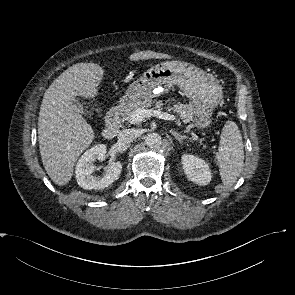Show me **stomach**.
Returning a JSON list of instances; mask_svg holds the SVG:
<instances>
[{
  "mask_svg": "<svg viewBox=\"0 0 295 295\" xmlns=\"http://www.w3.org/2000/svg\"><path fill=\"white\" fill-rule=\"evenodd\" d=\"M175 85L191 100L195 126L209 127L213 110L223 98L222 87L212 74L186 62L165 61L151 66L128 87L121 103L131 105L142 99L158 97Z\"/></svg>",
  "mask_w": 295,
  "mask_h": 295,
  "instance_id": "0dacf381",
  "label": "stomach"
}]
</instances>
